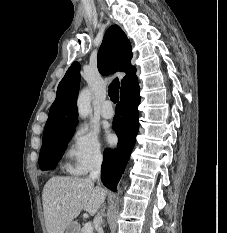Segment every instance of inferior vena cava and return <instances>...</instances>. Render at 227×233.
<instances>
[{"label": "inferior vena cava", "mask_w": 227, "mask_h": 233, "mask_svg": "<svg viewBox=\"0 0 227 233\" xmlns=\"http://www.w3.org/2000/svg\"><path fill=\"white\" fill-rule=\"evenodd\" d=\"M101 164H102V156L98 154L93 158L92 163L90 165V174H89L90 179L99 181ZM97 219L99 221H102V217L99 214L97 216Z\"/></svg>", "instance_id": "inferior-vena-cava-1"}]
</instances>
